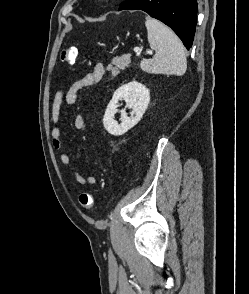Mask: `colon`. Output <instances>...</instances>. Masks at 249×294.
I'll return each mask as SVG.
<instances>
[{
	"mask_svg": "<svg viewBox=\"0 0 249 294\" xmlns=\"http://www.w3.org/2000/svg\"><path fill=\"white\" fill-rule=\"evenodd\" d=\"M78 49L76 47H65L61 51V60L63 63L72 65L76 62ZM79 204L82 209L90 210L94 206L93 195L88 192H83L79 196Z\"/></svg>",
	"mask_w": 249,
	"mask_h": 294,
	"instance_id": "colon-1",
	"label": "colon"
}]
</instances>
